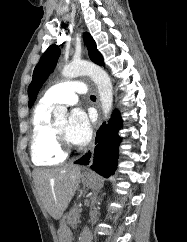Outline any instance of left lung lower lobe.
Returning a JSON list of instances; mask_svg holds the SVG:
<instances>
[{"label":"left lung lower lobe","instance_id":"0a47b994","mask_svg":"<svg viewBox=\"0 0 187 242\" xmlns=\"http://www.w3.org/2000/svg\"><path fill=\"white\" fill-rule=\"evenodd\" d=\"M122 127V120L118 110H115L108 125H103L98 131L95 139V147L92 152L86 153L75 164L90 165V167L108 178L114 175L119 158L118 147L121 138L118 131Z\"/></svg>","mask_w":187,"mask_h":242}]
</instances>
